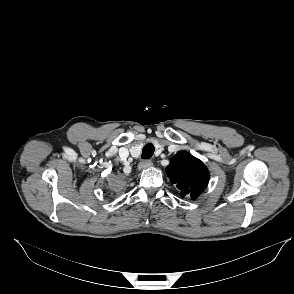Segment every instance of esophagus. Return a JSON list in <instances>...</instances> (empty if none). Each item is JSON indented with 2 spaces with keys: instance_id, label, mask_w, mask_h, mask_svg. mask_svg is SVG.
<instances>
[{
  "instance_id": "esophagus-1",
  "label": "esophagus",
  "mask_w": 294,
  "mask_h": 294,
  "mask_svg": "<svg viewBox=\"0 0 294 294\" xmlns=\"http://www.w3.org/2000/svg\"><path fill=\"white\" fill-rule=\"evenodd\" d=\"M153 163L150 160H144L142 162L139 163L138 168L139 170H143V169H147L152 167Z\"/></svg>"
}]
</instances>
